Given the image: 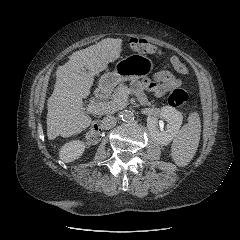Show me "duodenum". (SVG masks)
<instances>
[{"label": "duodenum", "mask_w": 240, "mask_h": 240, "mask_svg": "<svg viewBox=\"0 0 240 240\" xmlns=\"http://www.w3.org/2000/svg\"><path fill=\"white\" fill-rule=\"evenodd\" d=\"M109 95V87L106 85H101L95 90V96L100 100H105ZM92 128H98V123H94Z\"/></svg>", "instance_id": "1"}]
</instances>
